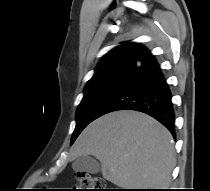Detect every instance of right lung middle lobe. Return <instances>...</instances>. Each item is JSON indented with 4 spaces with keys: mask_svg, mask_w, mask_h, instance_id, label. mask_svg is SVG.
I'll return each instance as SVG.
<instances>
[{
    "mask_svg": "<svg viewBox=\"0 0 210 191\" xmlns=\"http://www.w3.org/2000/svg\"><path fill=\"white\" fill-rule=\"evenodd\" d=\"M130 56H118L98 66L94 76L84 90V97L76 111V127L71 137V145L82 130L95 119L99 105L118 81Z\"/></svg>",
    "mask_w": 210,
    "mask_h": 191,
    "instance_id": "1",
    "label": "right lung middle lobe"
}]
</instances>
